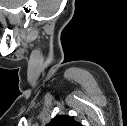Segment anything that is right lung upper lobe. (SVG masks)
<instances>
[{
  "instance_id": "obj_1",
  "label": "right lung upper lobe",
  "mask_w": 127,
  "mask_h": 126,
  "mask_svg": "<svg viewBox=\"0 0 127 126\" xmlns=\"http://www.w3.org/2000/svg\"><path fill=\"white\" fill-rule=\"evenodd\" d=\"M46 126H82L68 115H56Z\"/></svg>"
}]
</instances>
